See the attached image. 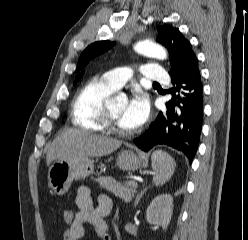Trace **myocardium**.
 <instances>
[{
	"instance_id": "1",
	"label": "myocardium",
	"mask_w": 248,
	"mask_h": 240,
	"mask_svg": "<svg viewBox=\"0 0 248 240\" xmlns=\"http://www.w3.org/2000/svg\"><path fill=\"white\" fill-rule=\"evenodd\" d=\"M103 123L107 130L120 134V135H128L134 132L133 130H125L119 127L114 117L112 116L109 107L107 106H105L104 112H103Z\"/></svg>"
}]
</instances>
